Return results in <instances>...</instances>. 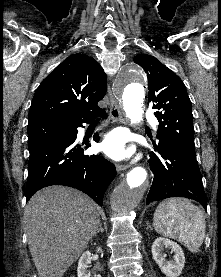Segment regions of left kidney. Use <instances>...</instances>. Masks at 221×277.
<instances>
[{
  "instance_id": "obj_1",
  "label": "left kidney",
  "mask_w": 221,
  "mask_h": 277,
  "mask_svg": "<svg viewBox=\"0 0 221 277\" xmlns=\"http://www.w3.org/2000/svg\"><path fill=\"white\" fill-rule=\"evenodd\" d=\"M165 248L171 249L175 253L173 260L167 261L165 259L166 254L163 253ZM151 251L154 261L167 277H178L182 273L185 256L182 248L176 242L159 237L154 241Z\"/></svg>"
}]
</instances>
